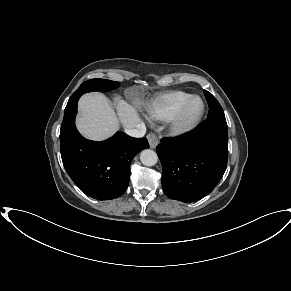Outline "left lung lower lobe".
Here are the masks:
<instances>
[{
  "label": "left lung lower lobe",
  "mask_w": 291,
  "mask_h": 291,
  "mask_svg": "<svg viewBox=\"0 0 291 291\" xmlns=\"http://www.w3.org/2000/svg\"><path fill=\"white\" fill-rule=\"evenodd\" d=\"M156 151L164 193L182 202L200 200L215 188L227 167L226 119H207L189 134L164 138Z\"/></svg>",
  "instance_id": "obj_1"
}]
</instances>
